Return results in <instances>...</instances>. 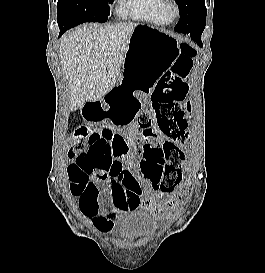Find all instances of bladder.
Masks as SVG:
<instances>
[{"mask_svg":"<svg viewBox=\"0 0 265 273\" xmlns=\"http://www.w3.org/2000/svg\"><path fill=\"white\" fill-rule=\"evenodd\" d=\"M157 225L156 217L142 208L126 212L117 233L125 240H142L150 237Z\"/></svg>","mask_w":265,"mask_h":273,"instance_id":"31cf9c89","label":"bladder"}]
</instances>
